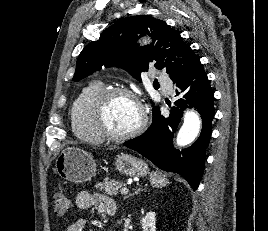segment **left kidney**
I'll return each mask as SVG.
<instances>
[{"mask_svg":"<svg viewBox=\"0 0 268 231\" xmlns=\"http://www.w3.org/2000/svg\"><path fill=\"white\" fill-rule=\"evenodd\" d=\"M141 225L143 231H156V213H146V215L141 219Z\"/></svg>","mask_w":268,"mask_h":231,"instance_id":"left-kidney-1","label":"left kidney"}]
</instances>
